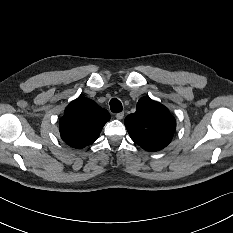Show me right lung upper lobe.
Here are the masks:
<instances>
[{
  "label": "right lung upper lobe",
  "mask_w": 233,
  "mask_h": 233,
  "mask_svg": "<svg viewBox=\"0 0 233 233\" xmlns=\"http://www.w3.org/2000/svg\"><path fill=\"white\" fill-rule=\"evenodd\" d=\"M109 119L108 111L93 100L78 98L67 106L60 119L61 138L74 148H84L99 137Z\"/></svg>",
  "instance_id": "obj_1"
}]
</instances>
